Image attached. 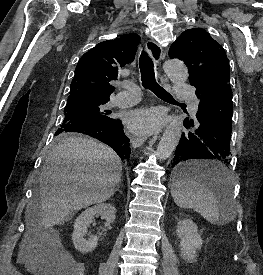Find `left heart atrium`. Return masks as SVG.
<instances>
[{
  "label": "left heart atrium",
  "instance_id": "1",
  "mask_svg": "<svg viewBox=\"0 0 263 275\" xmlns=\"http://www.w3.org/2000/svg\"><path fill=\"white\" fill-rule=\"evenodd\" d=\"M159 122V113L151 109H140L134 111L127 118L128 127L136 134L151 131L159 124Z\"/></svg>",
  "mask_w": 263,
  "mask_h": 275
}]
</instances>
